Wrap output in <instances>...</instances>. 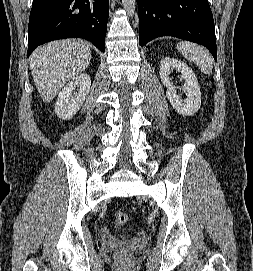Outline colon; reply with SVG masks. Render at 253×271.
Returning <instances> with one entry per match:
<instances>
[{
  "instance_id": "5ec220e1",
  "label": "colon",
  "mask_w": 253,
  "mask_h": 271,
  "mask_svg": "<svg viewBox=\"0 0 253 271\" xmlns=\"http://www.w3.org/2000/svg\"><path fill=\"white\" fill-rule=\"evenodd\" d=\"M115 221L118 225H124L128 221V216L125 212H118L115 216ZM118 256L121 259H128L130 254L128 251L122 250L119 252Z\"/></svg>"
}]
</instances>
